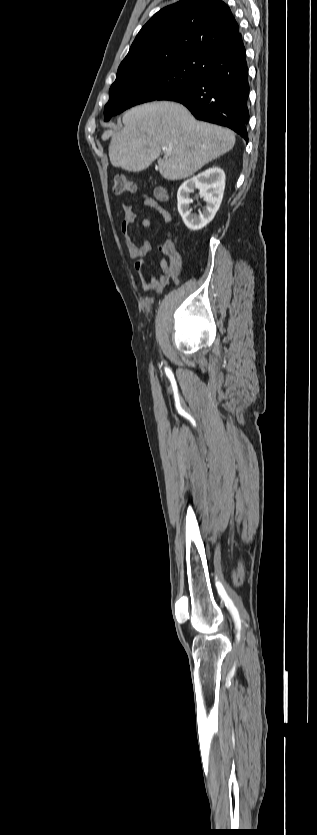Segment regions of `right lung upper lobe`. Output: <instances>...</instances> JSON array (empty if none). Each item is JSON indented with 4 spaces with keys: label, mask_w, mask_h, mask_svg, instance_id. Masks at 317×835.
Wrapping results in <instances>:
<instances>
[{
    "label": "right lung upper lobe",
    "mask_w": 317,
    "mask_h": 835,
    "mask_svg": "<svg viewBox=\"0 0 317 835\" xmlns=\"http://www.w3.org/2000/svg\"><path fill=\"white\" fill-rule=\"evenodd\" d=\"M238 24L221 0H181L157 12L139 31L117 76L177 62L226 44Z\"/></svg>",
    "instance_id": "1"
}]
</instances>
